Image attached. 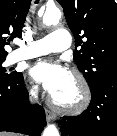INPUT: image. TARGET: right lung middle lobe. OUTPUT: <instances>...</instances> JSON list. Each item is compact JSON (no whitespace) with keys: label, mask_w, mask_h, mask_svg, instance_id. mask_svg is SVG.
Returning a JSON list of instances; mask_svg holds the SVG:
<instances>
[{"label":"right lung middle lobe","mask_w":117,"mask_h":136,"mask_svg":"<svg viewBox=\"0 0 117 136\" xmlns=\"http://www.w3.org/2000/svg\"><path fill=\"white\" fill-rule=\"evenodd\" d=\"M5 58H0V80H8L15 78L16 76L20 75L19 72H6V69L2 67V63L4 62Z\"/></svg>","instance_id":"dd1d6c3e"}]
</instances>
